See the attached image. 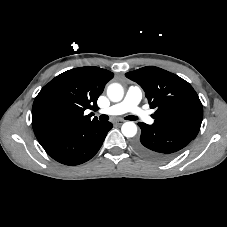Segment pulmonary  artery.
Returning <instances> with one entry per match:
<instances>
[{"label": "pulmonary artery", "instance_id": "e3ab8cb5", "mask_svg": "<svg viewBox=\"0 0 227 227\" xmlns=\"http://www.w3.org/2000/svg\"><path fill=\"white\" fill-rule=\"evenodd\" d=\"M143 92L139 86H130L125 94V97L119 103H116L106 109L100 111L101 114L106 115H121L124 113H131L137 119L151 124L152 118L147 111L143 110L139 104L142 99Z\"/></svg>", "mask_w": 227, "mask_h": 227}]
</instances>
